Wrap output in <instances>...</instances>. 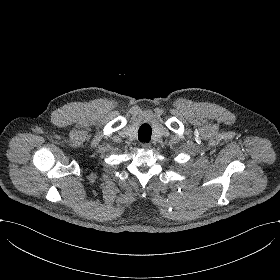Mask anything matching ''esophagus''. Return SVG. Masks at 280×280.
<instances>
[{
	"instance_id": "obj_1",
	"label": "esophagus",
	"mask_w": 280,
	"mask_h": 280,
	"mask_svg": "<svg viewBox=\"0 0 280 280\" xmlns=\"http://www.w3.org/2000/svg\"><path fill=\"white\" fill-rule=\"evenodd\" d=\"M141 147L144 149V150H150L152 145L150 143H142L141 144Z\"/></svg>"
}]
</instances>
